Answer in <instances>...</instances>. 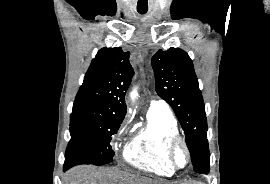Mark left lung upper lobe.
I'll return each mask as SVG.
<instances>
[{
	"label": "left lung upper lobe",
	"instance_id": "5c2ea615",
	"mask_svg": "<svg viewBox=\"0 0 270 184\" xmlns=\"http://www.w3.org/2000/svg\"><path fill=\"white\" fill-rule=\"evenodd\" d=\"M151 63L156 92L173 108L184 130L194 171L207 174L210 166L207 120L192 60L185 51L172 47L157 51Z\"/></svg>",
	"mask_w": 270,
	"mask_h": 184
}]
</instances>
